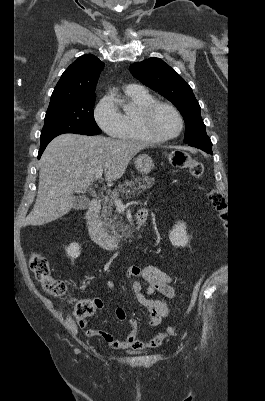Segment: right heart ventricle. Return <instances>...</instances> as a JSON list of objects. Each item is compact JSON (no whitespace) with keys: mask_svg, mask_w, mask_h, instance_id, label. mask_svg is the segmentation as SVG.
Returning <instances> with one entry per match:
<instances>
[{"mask_svg":"<svg viewBox=\"0 0 265 401\" xmlns=\"http://www.w3.org/2000/svg\"><path fill=\"white\" fill-rule=\"evenodd\" d=\"M124 94L126 104L120 112L122 125L119 132L115 135L117 139L108 143L147 141L139 125V116L141 111L153 103L155 99L147 91L139 87L133 90L125 88Z\"/></svg>","mask_w":265,"mask_h":401,"instance_id":"1","label":"right heart ventricle"}]
</instances>
